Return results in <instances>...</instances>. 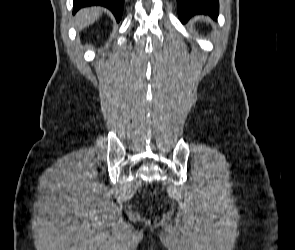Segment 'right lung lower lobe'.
<instances>
[{"label":"right lung lower lobe","mask_w":295,"mask_h":250,"mask_svg":"<svg viewBox=\"0 0 295 250\" xmlns=\"http://www.w3.org/2000/svg\"><path fill=\"white\" fill-rule=\"evenodd\" d=\"M124 0H73V13L80 8L92 5H101L112 11L117 21H120L123 12Z\"/></svg>","instance_id":"right-lung-lower-lobe-1"}]
</instances>
